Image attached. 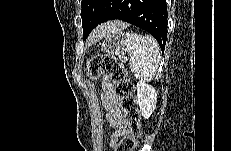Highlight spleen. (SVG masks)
I'll return each instance as SVG.
<instances>
[{
	"instance_id": "3e777b00",
	"label": "spleen",
	"mask_w": 231,
	"mask_h": 151,
	"mask_svg": "<svg viewBox=\"0 0 231 151\" xmlns=\"http://www.w3.org/2000/svg\"><path fill=\"white\" fill-rule=\"evenodd\" d=\"M125 51L130 56L129 66L136 78L151 81L156 76L160 63V48L152 36L128 33Z\"/></svg>"
}]
</instances>
